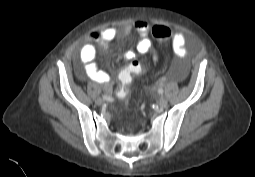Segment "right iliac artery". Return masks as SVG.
<instances>
[{"mask_svg":"<svg viewBox=\"0 0 255 177\" xmlns=\"http://www.w3.org/2000/svg\"><path fill=\"white\" fill-rule=\"evenodd\" d=\"M103 99L106 100V101H113L114 99L110 96H107V95H103Z\"/></svg>","mask_w":255,"mask_h":177,"instance_id":"obj_1","label":"right iliac artery"}]
</instances>
